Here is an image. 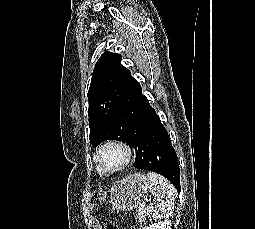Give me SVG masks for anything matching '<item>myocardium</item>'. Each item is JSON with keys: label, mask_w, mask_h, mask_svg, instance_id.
<instances>
[{"label": "myocardium", "mask_w": 255, "mask_h": 229, "mask_svg": "<svg viewBox=\"0 0 255 229\" xmlns=\"http://www.w3.org/2000/svg\"><path fill=\"white\" fill-rule=\"evenodd\" d=\"M118 148L124 154L123 161L116 166H106L102 160L103 152L108 148ZM133 157V152L131 147L124 141L118 139H109L104 141L96 150L94 155V160L98 168H100L103 172H117L129 165Z\"/></svg>", "instance_id": "f54148a6"}]
</instances>
